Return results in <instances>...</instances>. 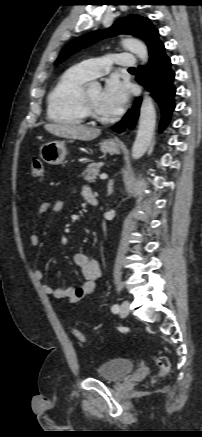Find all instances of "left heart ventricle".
<instances>
[{"label": "left heart ventricle", "instance_id": "1", "mask_svg": "<svg viewBox=\"0 0 202 437\" xmlns=\"http://www.w3.org/2000/svg\"><path fill=\"white\" fill-rule=\"evenodd\" d=\"M86 94L96 110L101 114L106 115V113L101 108L102 91L100 89H89L86 90Z\"/></svg>", "mask_w": 202, "mask_h": 437}]
</instances>
